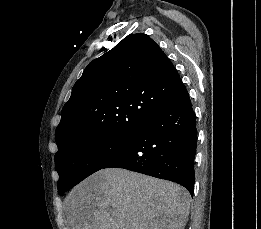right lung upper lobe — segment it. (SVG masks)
Returning <instances> with one entry per match:
<instances>
[{
  "label": "right lung upper lobe",
  "instance_id": "obj_1",
  "mask_svg": "<svg viewBox=\"0 0 261 229\" xmlns=\"http://www.w3.org/2000/svg\"><path fill=\"white\" fill-rule=\"evenodd\" d=\"M182 85L156 42L130 34L85 68L62 109L56 143L88 135L136 136Z\"/></svg>",
  "mask_w": 261,
  "mask_h": 229
}]
</instances>
